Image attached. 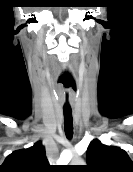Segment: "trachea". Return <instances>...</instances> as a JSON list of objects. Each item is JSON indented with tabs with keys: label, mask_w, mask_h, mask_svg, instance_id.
<instances>
[{
	"label": "trachea",
	"mask_w": 133,
	"mask_h": 172,
	"mask_svg": "<svg viewBox=\"0 0 133 172\" xmlns=\"http://www.w3.org/2000/svg\"><path fill=\"white\" fill-rule=\"evenodd\" d=\"M64 129L68 139L73 135V118L71 109L64 108Z\"/></svg>",
	"instance_id": "trachea-1"
}]
</instances>
